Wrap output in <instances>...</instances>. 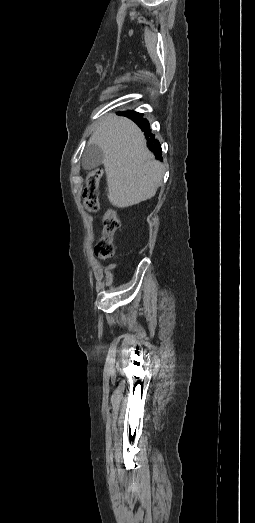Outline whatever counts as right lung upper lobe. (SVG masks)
<instances>
[{
	"instance_id": "cb5924a9",
	"label": "right lung upper lobe",
	"mask_w": 255,
	"mask_h": 523,
	"mask_svg": "<svg viewBox=\"0 0 255 523\" xmlns=\"http://www.w3.org/2000/svg\"><path fill=\"white\" fill-rule=\"evenodd\" d=\"M119 114L129 117L138 126H140L147 139V146L154 153L156 159L162 161V150L160 147V143L154 138V135L149 130L148 121L142 117V114L134 111H125Z\"/></svg>"
}]
</instances>
